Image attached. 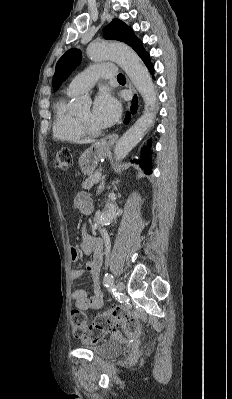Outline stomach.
Returning a JSON list of instances; mask_svg holds the SVG:
<instances>
[{
    "instance_id": "obj_1",
    "label": "stomach",
    "mask_w": 232,
    "mask_h": 399,
    "mask_svg": "<svg viewBox=\"0 0 232 399\" xmlns=\"http://www.w3.org/2000/svg\"><path fill=\"white\" fill-rule=\"evenodd\" d=\"M104 148L105 142L99 140V142H95V144H92L91 148H88V150H85V152L81 154L79 166L83 174H86V176L93 174L98 166V162L103 160L107 154V150H104Z\"/></svg>"
}]
</instances>
